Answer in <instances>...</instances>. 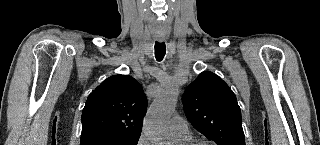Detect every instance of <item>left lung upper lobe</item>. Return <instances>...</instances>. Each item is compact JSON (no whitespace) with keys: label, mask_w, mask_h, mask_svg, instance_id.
Masks as SVG:
<instances>
[{"label":"left lung upper lobe","mask_w":320,"mask_h":145,"mask_svg":"<svg viewBox=\"0 0 320 145\" xmlns=\"http://www.w3.org/2000/svg\"><path fill=\"white\" fill-rule=\"evenodd\" d=\"M182 102L193 127L217 145H245L241 110L229 86L216 74H199Z\"/></svg>","instance_id":"obj_1"}]
</instances>
